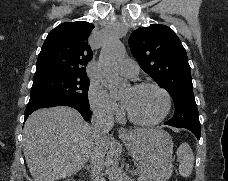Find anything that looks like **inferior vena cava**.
<instances>
[{
    "label": "inferior vena cava",
    "mask_w": 228,
    "mask_h": 181,
    "mask_svg": "<svg viewBox=\"0 0 228 181\" xmlns=\"http://www.w3.org/2000/svg\"><path fill=\"white\" fill-rule=\"evenodd\" d=\"M92 111V133L97 141L90 153V177H92L93 181H103L99 177L106 155V149L102 147V139H106L109 131L113 129L114 115L110 111H107V109H104L103 105H94Z\"/></svg>",
    "instance_id": "inferior-vena-cava-1"
}]
</instances>
